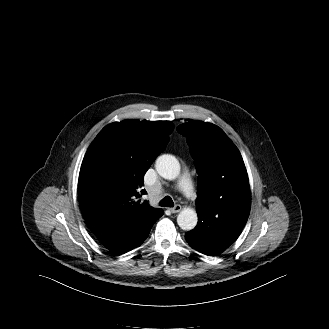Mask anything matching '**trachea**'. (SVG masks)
I'll return each mask as SVG.
<instances>
[{
  "label": "trachea",
  "instance_id": "3493384b",
  "mask_svg": "<svg viewBox=\"0 0 329 329\" xmlns=\"http://www.w3.org/2000/svg\"><path fill=\"white\" fill-rule=\"evenodd\" d=\"M160 206L162 207H173L174 206V202L172 200L171 197L166 196L164 197L161 201H160Z\"/></svg>",
  "mask_w": 329,
  "mask_h": 329
}]
</instances>
